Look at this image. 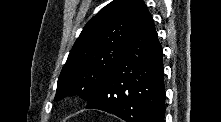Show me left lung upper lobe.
Wrapping results in <instances>:
<instances>
[{"instance_id": "obj_1", "label": "left lung upper lobe", "mask_w": 221, "mask_h": 122, "mask_svg": "<svg viewBox=\"0 0 221 122\" xmlns=\"http://www.w3.org/2000/svg\"><path fill=\"white\" fill-rule=\"evenodd\" d=\"M142 0H114L83 28L57 83L55 100L79 94L88 103L121 56Z\"/></svg>"}]
</instances>
